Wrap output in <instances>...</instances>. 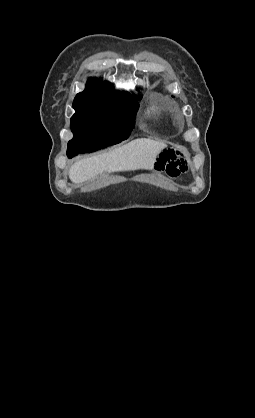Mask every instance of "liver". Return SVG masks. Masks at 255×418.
Here are the masks:
<instances>
[{
  "instance_id": "1",
  "label": "liver",
  "mask_w": 255,
  "mask_h": 418,
  "mask_svg": "<svg viewBox=\"0 0 255 418\" xmlns=\"http://www.w3.org/2000/svg\"><path fill=\"white\" fill-rule=\"evenodd\" d=\"M166 146L161 141L135 139L108 153L77 161L69 169V178L79 184L103 172L152 170L157 156Z\"/></svg>"
}]
</instances>
